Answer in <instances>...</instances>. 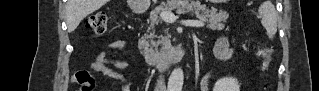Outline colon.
<instances>
[{
	"instance_id": "5ec220e1",
	"label": "colon",
	"mask_w": 319,
	"mask_h": 91,
	"mask_svg": "<svg viewBox=\"0 0 319 91\" xmlns=\"http://www.w3.org/2000/svg\"><path fill=\"white\" fill-rule=\"evenodd\" d=\"M85 27L96 36L104 35L108 29V15L105 12H96L92 14L86 19ZM263 56V67L265 70H268L272 62L271 47L266 46L263 48ZM78 82L82 85L83 91H91L94 88L93 79L85 73H82L79 76Z\"/></svg>"
}]
</instances>
